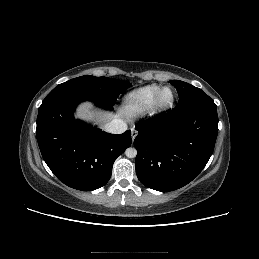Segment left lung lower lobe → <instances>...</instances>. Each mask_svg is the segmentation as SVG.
Instances as JSON below:
<instances>
[{
	"label": "left lung lower lobe",
	"instance_id": "0a47b994",
	"mask_svg": "<svg viewBox=\"0 0 259 259\" xmlns=\"http://www.w3.org/2000/svg\"><path fill=\"white\" fill-rule=\"evenodd\" d=\"M136 174L157 191H173L191 182L211 157L217 134L216 105L176 106L136 125Z\"/></svg>",
	"mask_w": 259,
	"mask_h": 259
}]
</instances>
